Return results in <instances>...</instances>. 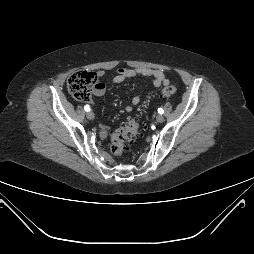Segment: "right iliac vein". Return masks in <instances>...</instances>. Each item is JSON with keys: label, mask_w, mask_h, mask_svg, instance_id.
Masks as SVG:
<instances>
[{"label": "right iliac vein", "mask_w": 254, "mask_h": 254, "mask_svg": "<svg viewBox=\"0 0 254 254\" xmlns=\"http://www.w3.org/2000/svg\"><path fill=\"white\" fill-rule=\"evenodd\" d=\"M86 116H87V118L90 119V120H93L94 117H95V116H94V113L91 112V111L87 112V113H86Z\"/></svg>", "instance_id": "right-iliac-vein-1"}]
</instances>
